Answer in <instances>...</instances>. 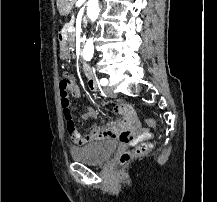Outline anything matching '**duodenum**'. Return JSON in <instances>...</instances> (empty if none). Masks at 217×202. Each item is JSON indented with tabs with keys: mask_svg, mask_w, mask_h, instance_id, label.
Masks as SVG:
<instances>
[{
	"mask_svg": "<svg viewBox=\"0 0 217 202\" xmlns=\"http://www.w3.org/2000/svg\"><path fill=\"white\" fill-rule=\"evenodd\" d=\"M60 40L63 42L64 41V38L61 37ZM83 72L86 76V78L91 81L94 79V72L92 70V68L89 66V65H84L83 66Z\"/></svg>",
	"mask_w": 217,
	"mask_h": 202,
	"instance_id": "410a0bca",
	"label": "duodenum"
}]
</instances>
